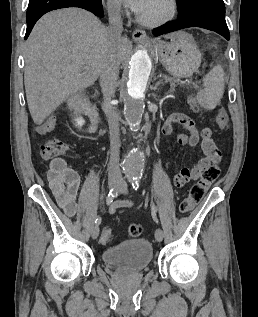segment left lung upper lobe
I'll return each mask as SVG.
<instances>
[{
  "label": "left lung upper lobe",
  "instance_id": "obj_1",
  "mask_svg": "<svg viewBox=\"0 0 258 317\" xmlns=\"http://www.w3.org/2000/svg\"><path fill=\"white\" fill-rule=\"evenodd\" d=\"M176 1L178 5V15H182L188 9L189 5L192 4L196 0H176Z\"/></svg>",
  "mask_w": 258,
  "mask_h": 317
}]
</instances>
